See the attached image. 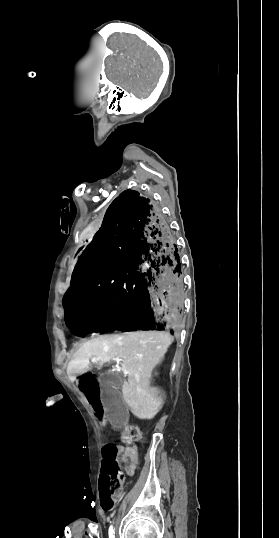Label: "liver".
I'll return each mask as SVG.
<instances>
[{
  "label": "liver",
  "mask_w": 279,
  "mask_h": 538,
  "mask_svg": "<svg viewBox=\"0 0 279 538\" xmlns=\"http://www.w3.org/2000/svg\"><path fill=\"white\" fill-rule=\"evenodd\" d=\"M172 338L167 332H125L115 336H100L85 342L69 362L67 372L72 378L89 370V360L96 356L101 362L114 358L123 360L127 380L122 386L124 402L140 420H151L162 408L163 400L149 388L151 372L164 358Z\"/></svg>",
  "instance_id": "6515ba94"
}]
</instances>
